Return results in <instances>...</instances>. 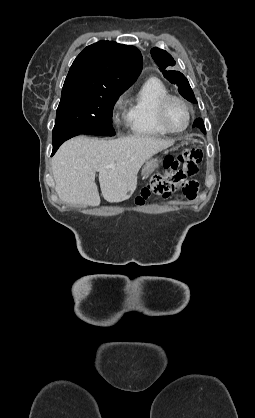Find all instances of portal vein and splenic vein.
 <instances>
[{
	"instance_id": "portal-vein-and-splenic-vein-1",
	"label": "portal vein and splenic vein",
	"mask_w": 255,
	"mask_h": 418,
	"mask_svg": "<svg viewBox=\"0 0 255 418\" xmlns=\"http://www.w3.org/2000/svg\"><path fill=\"white\" fill-rule=\"evenodd\" d=\"M107 168H112V165L107 166Z\"/></svg>"
}]
</instances>
